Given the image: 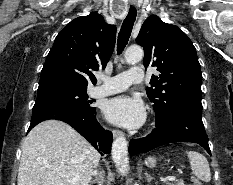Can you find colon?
<instances>
[{
    "mask_svg": "<svg viewBox=\"0 0 233 185\" xmlns=\"http://www.w3.org/2000/svg\"><path fill=\"white\" fill-rule=\"evenodd\" d=\"M194 185H201L200 182L196 181Z\"/></svg>",
    "mask_w": 233,
    "mask_h": 185,
    "instance_id": "1",
    "label": "colon"
}]
</instances>
